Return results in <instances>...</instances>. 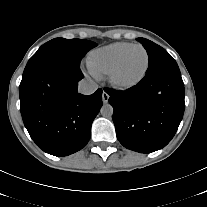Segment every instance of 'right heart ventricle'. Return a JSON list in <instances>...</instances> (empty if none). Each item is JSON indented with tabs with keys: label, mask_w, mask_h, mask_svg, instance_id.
I'll return each instance as SVG.
<instances>
[{
	"label": "right heart ventricle",
	"mask_w": 207,
	"mask_h": 207,
	"mask_svg": "<svg viewBox=\"0 0 207 207\" xmlns=\"http://www.w3.org/2000/svg\"><path fill=\"white\" fill-rule=\"evenodd\" d=\"M131 45L130 42H116L93 51L87 60L89 69L96 77L108 74L121 54Z\"/></svg>",
	"instance_id": "obj_1"
}]
</instances>
